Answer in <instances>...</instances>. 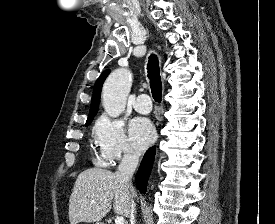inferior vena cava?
<instances>
[{"instance_id": "obj_1", "label": "inferior vena cava", "mask_w": 275, "mask_h": 224, "mask_svg": "<svg viewBox=\"0 0 275 224\" xmlns=\"http://www.w3.org/2000/svg\"><path fill=\"white\" fill-rule=\"evenodd\" d=\"M139 157H140V152L130 148L125 149L122 161L118 166V171L116 172L121 177V180L125 183V185L131 191H133L131 178L138 165ZM135 213H136V205L132 196L130 201V210H129V218H130L131 224H135Z\"/></svg>"}]
</instances>
